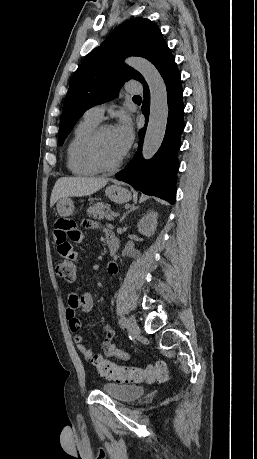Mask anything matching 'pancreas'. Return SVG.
<instances>
[{
  "label": "pancreas",
  "mask_w": 257,
  "mask_h": 459,
  "mask_svg": "<svg viewBox=\"0 0 257 459\" xmlns=\"http://www.w3.org/2000/svg\"><path fill=\"white\" fill-rule=\"evenodd\" d=\"M108 211H110V205L104 204L103 202H97L87 209L88 215L93 218H100Z\"/></svg>",
  "instance_id": "pancreas-1"
}]
</instances>
